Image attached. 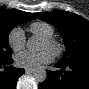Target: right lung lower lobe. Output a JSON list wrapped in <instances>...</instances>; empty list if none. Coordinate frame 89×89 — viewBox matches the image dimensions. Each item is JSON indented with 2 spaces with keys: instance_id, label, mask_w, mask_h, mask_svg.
<instances>
[{
  "instance_id": "98d812e1",
  "label": "right lung lower lobe",
  "mask_w": 89,
  "mask_h": 89,
  "mask_svg": "<svg viewBox=\"0 0 89 89\" xmlns=\"http://www.w3.org/2000/svg\"><path fill=\"white\" fill-rule=\"evenodd\" d=\"M13 62V59L7 57L0 59V68L2 66L9 65ZM25 73L24 69H18L13 66H7L3 71L0 72V87L1 89H14L18 78Z\"/></svg>"
}]
</instances>
